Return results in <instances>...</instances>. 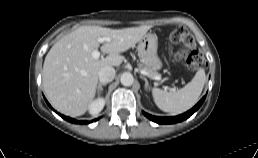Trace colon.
Masks as SVG:
<instances>
[{"instance_id":"1","label":"colon","mask_w":258,"mask_h":158,"mask_svg":"<svg viewBox=\"0 0 258 158\" xmlns=\"http://www.w3.org/2000/svg\"><path fill=\"white\" fill-rule=\"evenodd\" d=\"M170 40L179 44L181 48L175 55V60L184 62L191 71H198L205 67L203 55L195 49L192 35L183 27L174 29L170 34Z\"/></svg>"}]
</instances>
